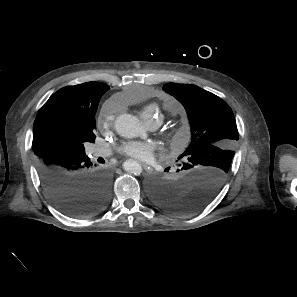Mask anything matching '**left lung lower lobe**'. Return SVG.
<instances>
[{"label":"left lung lower lobe","instance_id":"1","mask_svg":"<svg viewBox=\"0 0 297 297\" xmlns=\"http://www.w3.org/2000/svg\"><path fill=\"white\" fill-rule=\"evenodd\" d=\"M181 174L172 180H152L150 196L159 207L179 214L194 213L204 208L218 194L226 179L214 166L196 168L179 165ZM179 172V170H177Z\"/></svg>","mask_w":297,"mask_h":297}]
</instances>
